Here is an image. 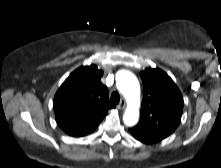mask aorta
<instances>
[{
  "label": "aorta",
  "instance_id": "762f6f07",
  "mask_svg": "<svg viewBox=\"0 0 221 168\" xmlns=\"http://www.w3.org/2000/svg\"><path fill=\"white\" fill-rule=\"evenodd\" d=\"M118 90L127 100L123 121L127 126H134L139 120L140 85L137 77L130 71L121 70L116 76Z\"/></svg>",
  "mask_w": 221,
  "mask_h": 168
}]
</instances>
